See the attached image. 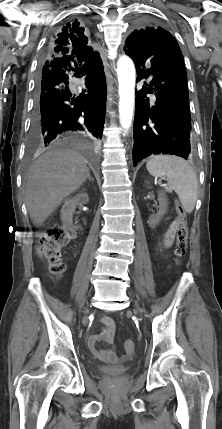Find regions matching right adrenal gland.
I'll list each match as a JSON object with an SVG mask.
<instances>
[{
    "mask_svg": "<svg viewBox=\"0 0 222 429\" xmlns=\"http://www.w3.org/2000/svg\"><path fill=\"white\" fill-rule=\"evenodd\" d=\"M87 179L91 182H94V179L91 177L90 173L88 174Z\"/></svg>",
    "mask_w": 222,
    "mask_h": 429,
    "instance_id": "1",
    "label": "right adrenal gland"
}]
</instances>
